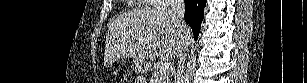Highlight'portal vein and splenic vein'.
I'll list each match as a JSON object with an SVG mask.
<instances>
[{"label":"portal vein and splenic vein","mask_w":307,"mask_h":83,"mask_svg":"<svg viewBox=\"0 0 307 83\" xmlns=\"http://www.w3.org/2000/svg\"><path fill=\"white\" fill-rule=\"evenodd\" d=\"M172 71V65L170 63H163L160 67L161 76H166Z\"/></svg>","instance_id":"obj_1"}]
</instances>
